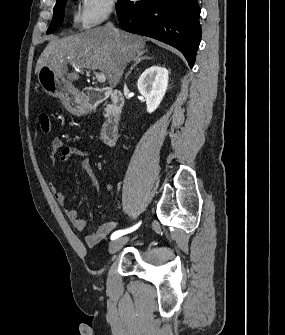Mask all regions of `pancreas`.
Here are the masks:
<instances>
[{
    "label": "pancreas",
    "mask_w": 285,
    "mask_h": 335,
    "mask_svg": "<svg viewBox=\"0 0 285 335\" xmlns=\"http://www.w3.org/2000/svg\"><path fill=\"white\" fill-rule=\"evenodd\" d=\"M102 117H103L104 119H107V118L109 117V114H108L107 112H104V113L102 114Z\"/></svg>",
    "instance_id": "obj_1"
}]
</instances>
